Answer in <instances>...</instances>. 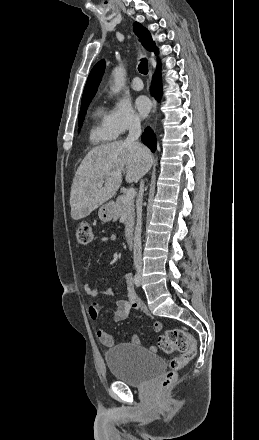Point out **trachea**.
Returning a JSON list of instances; mask_svg holds the SVG:
<instances>
[{"label":"trachea","instance_id":"trachea-1","mask_svg":"<svg viewBox=\"0 0 259 440\" xmlns=\"http://www.w3.org/2000/svg\"><path fill=\"white\" fill-rule=\"evenodd\" d=\"M138 70L141 74L146 75L148 73V62L146 60H142L138 65Z\"/></svg>","mask_w":259,"mask_h":440}]
</instances>
